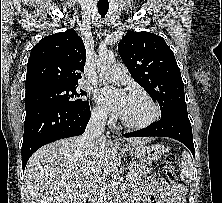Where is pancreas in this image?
Instances as JSON below:
<instances>
[{
  "instance_id": "1",
  "label": "pancreas",
  "mask_w": 222,
  "mask_h": 203,
  "mask_svg": "<svg viewBox=\"0 0 222 203\" xmlns=\"http://www.w3.org/2000/svg\"><path fill=\"white\" fill-rule=\"evenodd\" d=\"M129 173L128 178L131 183H136L141 181L147 174H149L152 168L147 167L144 164H139L137 162H132L128 167Z\"/></svg>"
}]
</instances>
